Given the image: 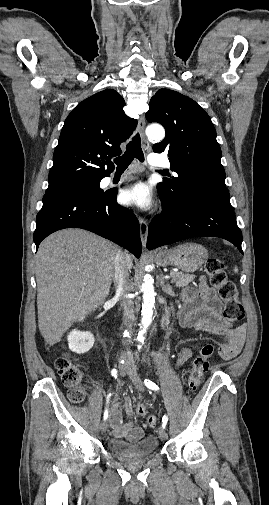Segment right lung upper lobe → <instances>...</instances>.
I'll return each instance as SVG.
<instances>
[{
	"mask_svg": "<svg viewBox=\"0 0 269 505\" xmlns=\"http://www.w3.org/2000/svg\"><path fill=\"white\" fill-rule=\"evenodd\" d=\"M125 101L113 89L98 92L79 103L68 115L53 154L47 190L108 176L112 156L121 154L125 142L137 126L128 117Z\"/></svg>",
	"mask_w": 269,
	"mask_h": 505,
	"instance_id": "cb5924a9",
	"label": "right lung upper lobe"
}]
</instances>
